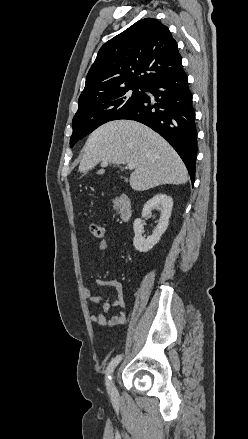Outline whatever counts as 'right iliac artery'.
<instances>
[{
	"mask_svg": "<svg viewBox=\"0 0 248 439\" xmlns=\"http://www.w3.org/2000/svg\"><path fill=\"white\" fill-rule=\"evenodd\" d=\"M122 359V355H118L115 358H113L111 360V362L109 363L107 370H106V385H107V389H109L110 386V380H111V373L113 372V370L115 369V367L118 365V363L121 361Z\"/></svg>",
	"mask_w": 248,
	"mask_h": 439,
	"instance_id": "1",
	"label": "right iliac artery"
}]
</instances>
